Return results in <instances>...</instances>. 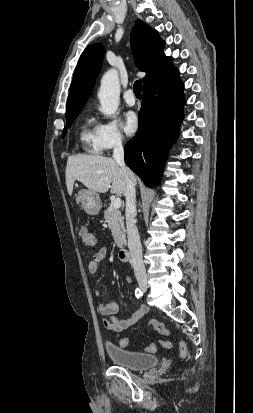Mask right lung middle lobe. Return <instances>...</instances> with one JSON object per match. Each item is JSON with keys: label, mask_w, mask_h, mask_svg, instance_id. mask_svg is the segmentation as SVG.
Listing matches in <instances>:
<instances>
[{"label": "right lung middle lobe", "mask_w": 253, "mask_h": 413, "mask_svg": "<svg viewBox=\"0 0 253 413\" xmlns=\"http://www.w3.org/2000/svg\"><path fill=\"white\" fill-rule=\"evenodd\" d=\"M77 115H78V114H75V115H71V116L66 117V127H65L64 130H63V135H62V136H64V135L66 134L67 127H70V125H71L72 122L75 120V118L77 117Z\"/></svg>", "instance_id": "right-lung-middle-lobe-1"}]
</instances>
